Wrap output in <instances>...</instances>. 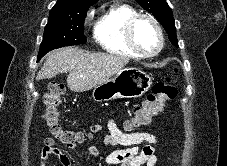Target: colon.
Wrapping results in <instances>:
<instances>
[{
	"label": "colon",
	"instance_id": "obj_1",
	"mask_svg": "<svg viewBox=\"0 0 227 166\" xmlns=\"http://www.w3.org/2000/svg\"><path fill=\"white\" fill-rule=\"evenodd\" d=\"M64 93L65 89L62 84L51 83L48 85L43 121L49 133L62 144L66 146L82 144L86 139L84 133L66 129L61 124L60 108L63 104ZM176 95L177 88L171 78L155 83L148 96L135 106L132 117L125 123V127L134 129L150 124L155 116L165 110L166 104L176 98Z\"/></svg>",
	"mask_w": 227,
	"mask_h": 166
}]
</instances>
